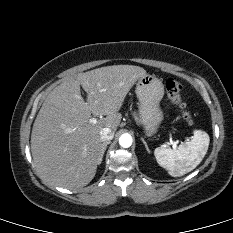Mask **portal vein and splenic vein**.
I'll return each instance as SVG.
<instances>
[{"label": "portal vein and splenic vein", "instance_id": "obj_1", "mask_svg": "<svg viewBox=\"0 0 233 233\" xmlns=\"http://www.w3.org/2000/svg\"><path fill=\"white\" fill-rule=\"evenodd\" d=\"M96 122H97L96 118H91L90 119V123H96ZM171 144H172L173 148H176V146H177L176 142L171 141Z\"/></svg>", "mask_w": 233, "mask_h": 233}]
</instances>
